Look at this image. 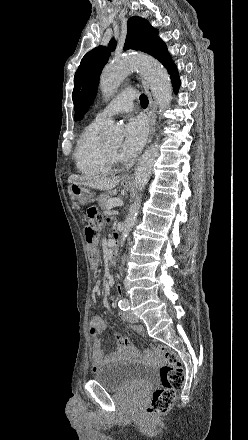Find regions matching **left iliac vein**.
<instances>
[{
	"label": "left iliac vein",
	"mask_w": 248,
	"mask_h": 440,
	"mask_svg": "<svg viewBox=\"0 0 248 440\" xmlns=\"http://www.w3.org/2000/svg\"><path fill=\"white\" fill-rule=\"evenodd\" d=\"M124 319L127 320V321H129V322H137V321H138V318H137V317L134 315V313L131 312V311H127V312L124 314Z\"/></svg>",
	"instance_id": "left-iliac-vein-1"
}]
</instances>
